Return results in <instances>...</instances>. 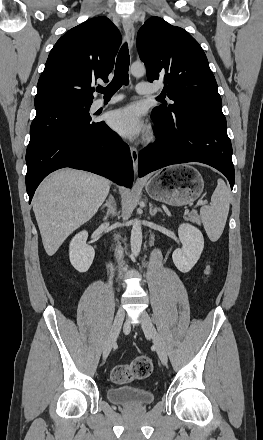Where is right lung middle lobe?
<instances>
[{"label": "right lung middle lobe", "instance_id": "right-lung-middle-lobe-1", "mask_svg": "<svg viewBox=\"0 0 263 440\" xmlns=\"http://www.w3.org/2000/svg\"><path fill=\"white\" fill-rule=\"evenodd\" d=\"M91 103L59 102L43 108H36V116L30 128L29 145L50 135L75 127L95 125L89 114Z\"/></svg>", "mask_w": 263, "mask_h": 440}]
</instances>
